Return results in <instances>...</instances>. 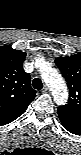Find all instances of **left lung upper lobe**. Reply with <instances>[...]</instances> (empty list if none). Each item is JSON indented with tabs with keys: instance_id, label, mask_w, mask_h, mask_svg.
I'll use <instances>...</instances> for the list:
<instances>
[{
	"instance_id": "left-lung-upper-lobe-1",
	"label": "left lung upper lobe",
	"mask_w": 81,
	"mask_h": 155,
	"mask_svg": "<svg viewBox=\"0 0 81 155\" xmlns=\"http://www.w3.org/2000/svg\"><path fill=\"white\" fill-rule=\"evenodd\" d=\"M69 88L68 102L58 109L68 115L81 119V56L74 54L58 57L55 60Z\"/></svg>"
}]
</instances>
